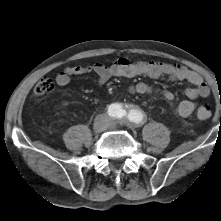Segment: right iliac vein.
<instances>
[{
	"mask_svg": "<svg viewBox=\"0 0 221 221\" xmlns=\"http://www.w3.org/2000/svg\"><path fill=\"white\" fill-rule=\"evenodd\" d=\"M107 126H108V123L104 118H98L94 122L93 130L96 133H100V132L104 131L107 128Z\"/></svg>",
	"mask_w": 221,
	"mask_h": 221,
	"instance_id": "1",
	"label": "right iliac vein"
}]
</instances>
